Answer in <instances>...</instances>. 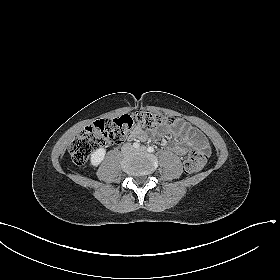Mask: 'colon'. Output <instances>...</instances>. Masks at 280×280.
Segmentation results:
<instances>
[{"label": "colon", "mask_w": 280, "mask_h": 280, "mask_svg": "<svg viewBox=\"0 0 280 280\" xmlns=\"http://www.w3.org/2000/svg\"><path fill=\"white\" fill-rule=\"evenodd\" d=\"M176 121L177 119L173 116L148 111H137L130 115L97 120L71 143L72 160L78 165L84 164L89 156L100 147L122 143L133 125L155 129L164 124L172 125ZM208 155V147L194 148L184 162L185 172L195 173L201 170L208 160Z\"/></svg>", "instance_id": "colon-1"}]
</instances>
